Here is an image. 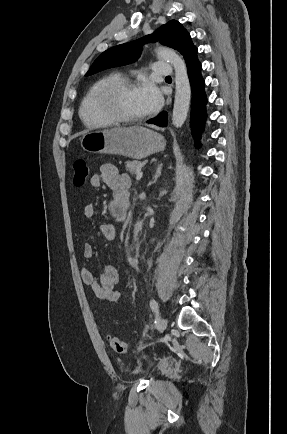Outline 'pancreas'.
Segmentation results:
<instances>
[{"instance_id": "pancreas-1", "label": "pancreas", "mask_w": 287, "mask_h": 434, "mask_svg": "<svg viewBox=\"0 0 287 434\" xmlns=\"http://www.w3.org/2000/svg\"><path fill=\"white\" fill-rule=\"evenodd\" d=\"M143 166L144 163L139 161H127L125 163L126 170L132 175L136 174Z\"/></svg>"}]
</instances>
